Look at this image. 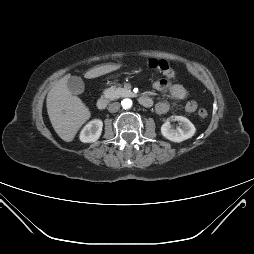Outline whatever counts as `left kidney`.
Wrapping results in <instances>:
<instances>
[{"mask_svg":"<svg viewBox=\"0 0 254 254\" xmlns=\"http://www.w3.org/2000/svg\"><path fill=\"white\" fill-rule=\"evenodd\" d=\"M174 119L179 122L178 127L174 128L169 120L161 126V133L166 139L173 142H182L195 134V126L186 117L175 116Z\"/></svg>","mask_w":254,"mask_h":254,"instance_id":"1","label":"left kidney"}]
</instances>
